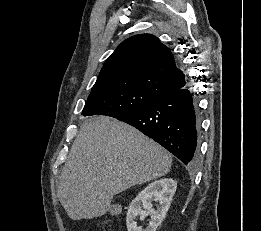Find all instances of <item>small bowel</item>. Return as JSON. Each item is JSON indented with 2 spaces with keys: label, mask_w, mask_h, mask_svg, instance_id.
Segmentation results:
<instances>
[{
  "label": "small bowel",
  "mask_w": 261,
  "mask_h": 231,
  "mask_svg": "<svg viewBox=\"0 0 261 231\" xmlns=\"http://www.w3.org/2000/svg\"><path fill=\"white\" fill-rule=\"evenodd\" d=\"M84 231H90V230L86 229V230H84Z\"/></svg>",
  "instance_id": "1"
}]
</instances>
